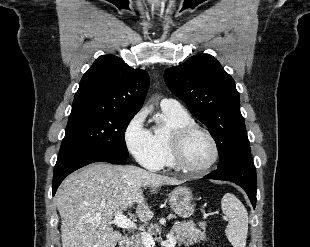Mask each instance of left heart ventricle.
Returning <instances> with one entry per match:
<instances>
[{
    "label": "left heart ventricle",
    "instance_id": "b2bd125f",
    "mask_svg": "<svg viewBox=\"0 0 310 247\" xmlns=\"http://www.w3.org/2000/svg\"><path fill=\"white\" fill-rule=\"evenodd\" d=\"M186 162L193 168L208 164L213 158V147L207 136L201 132L192 134L185 145Z\"/></svg>",
    "mask_w": 310,
    "mask_h": 247
}]
</instances>
